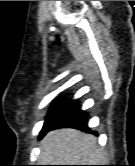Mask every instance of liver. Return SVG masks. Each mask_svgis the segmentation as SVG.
<instances>
[{"mask_svg": "<svg viewBox=\"0 0 135 166\" xmlns=\"http://www.w3.org/2000/svg\"><path fill=\"white\" fill-rule=\"evenodd\" d=\"M42 165H98L104 154L94 135L76 129H59L46 134L40 143Z\"/></svg>", "mask_w": 135, "mask_h": 166, "instance_id": "1", "label": "liver"}]
</instances>
